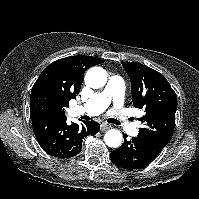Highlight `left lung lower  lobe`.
I'll use <instances>...</instances> for the list:
<instances>
[{
    "label": "left lung lower lobe",
    "instance_id": "obj_1",
    "mask_svg": "<svg viewBox=\"0 0 199 199\" xmlns=\"http://www.w3.org/2000/svg\"><path fill=\"white\" fill-rule=\"evenodd\" d=\"M124 135V134H123ZM165 146L138 134L132 140L127 141L110 154L111 161L124 169H140L150 164Z\"/></svg>",
    "mask_w": 199,
    "mask_h": 199
}]
</instances>
